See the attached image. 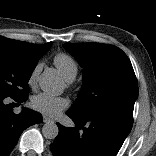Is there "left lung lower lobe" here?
<instances>
[{"label":"left lung lower lobe","instance_id":"1","mask_svg":"<svg viewBox=\"0 0 156 156\" xmlns=\"http://www.w3.org/2000/svg\"><path fill=\"white\" fill-rule=\"evenodd\" d=\"M66 114L76 126L57 123L59 133L50 145L54 156H116L133 125V114L120 109Z\"/></svg>","mask_w":156,"mask_h":156}]
</instances>
